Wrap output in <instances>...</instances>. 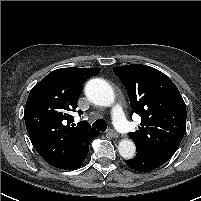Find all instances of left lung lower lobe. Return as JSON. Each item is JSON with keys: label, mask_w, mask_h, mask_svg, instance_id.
Returning <instances> with one entry per match:
<instances>
[{"label": "left lung lower lobe", "mask_w": 201, "mask_h": 201, "mask_svg": "<svg viewBox=\"0 0 201 201\" xmlns=\"http://www.w3.org/2000/svg\"><path fill=\"white\" fill-rule=\"evenodd\" d=\"M173 153H137L131 160H126L125 163L131 169L140 172H149L164 164Z\"/></svg>", "instance_id": "1"}]
</instances>
